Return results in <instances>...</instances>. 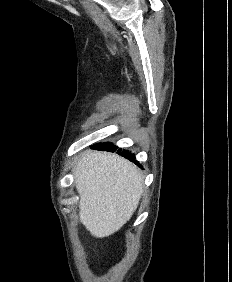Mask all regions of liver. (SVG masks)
Listing matches in <instances>:
<instances>
[{"instance_id": "liver-1", "label": "liver", "mask_w": 232, "mask_h": 282, "mask_svg": "<svg viewBox=\"0 0 232 282\" xmlns=\"http://www.w3.org/2000/svg\"><path fill=\"white\" fill-rule=\"evenodd\" d=\"M79 216L91 235L118 231L135 212L143 191L139 169L117 154L88 151L74 168Z\"/></svg>"}]
</instances>
